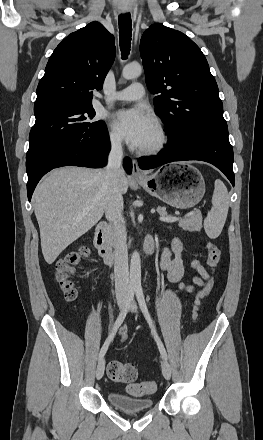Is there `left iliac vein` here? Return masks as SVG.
Instances as JSON below:
<instances>
[{
	"instance_id": "4c4485c4",
	"label": "left iliac vein",
	"mask_w": 263,
	"mask_h": 440,
	"mask_svg": "<svg viewBox=\"0 0 263 440\" xmlns=\"http://www.w3.org/2000/svg\"><path fill=\"white\" fill-rule=\"evenodd\" d=\"M136 308H137L136 303H133L132 307H131V311L135 312ZM161 369H162V373H163V376L165 377V379L169 380L170 377H171V367H170V364L168 363V361L166 359H164L162 361Z\"/></svg>"
}]
</instances>
